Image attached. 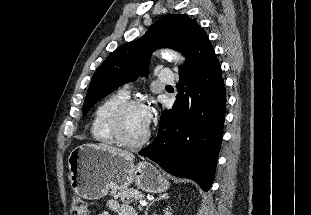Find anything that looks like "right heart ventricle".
I'll return each instance as SVG.
<instances>
[{"instance_id": "right-heart-ventricle-1", "label": "right heart ventricle", "mask_w": 311, "mask_h": 215, "mask_svg": "<svg viewBox=\"0 0 311 215\" xmlns=\"http://www.w3.org/2000/svg\"><path fill=\"white\" fill-rule=\"evenodd\" d=\"M128 99V95L121 91L105 98L95 109L91 122V134L99 143L116 144L117 141L110 128V116L113 110Z\"/></svg>"}]
</instances>
